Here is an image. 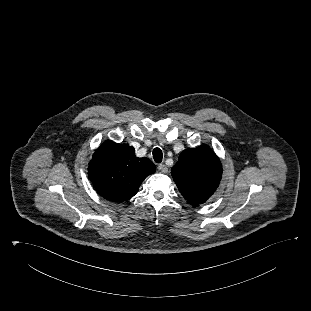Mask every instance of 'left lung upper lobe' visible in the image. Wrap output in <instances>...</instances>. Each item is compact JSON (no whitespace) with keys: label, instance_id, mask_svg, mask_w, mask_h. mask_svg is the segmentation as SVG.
<instances>
[{"label":"left lung upper lobe","instance_id":"left-lung-upper-lobe-1","mask_svg":"<svg viewBox=\"0 0 311 311\" xmlns=\"http://www.w3.org/2000/svg\"><path fill=\"white\" fill-rule=\"evenodd\" d=\"M171 175L188 203H204L216 191L222 176V165L207 145L184 150L171 169Z\"/></svg>","mask_w":311,"mask_h":311}]
</instances>
